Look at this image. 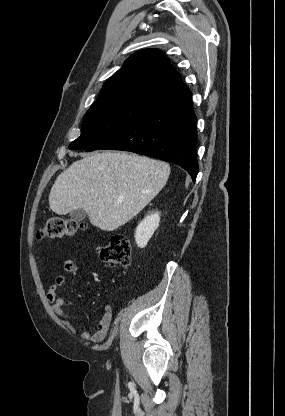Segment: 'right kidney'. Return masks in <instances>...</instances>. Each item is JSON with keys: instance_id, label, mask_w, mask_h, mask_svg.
Listing matches in <instances>:
<instances>
[{"instance_id": "obj_1", "label": "right kidney", "mask_w": 285, "mask_h": 416, "mask_svg": "<svg viewBox=\"0 0 285 416\" xmlns=\"http://www.w3.org/2000/svg\"><path fill=\"white\" fill-rule=\"evenodd\" d=\"M160 222V212H153L145 216L135 230V242L139 248H145Z\"/></svg>"}]
</instances>
